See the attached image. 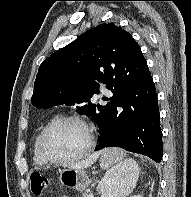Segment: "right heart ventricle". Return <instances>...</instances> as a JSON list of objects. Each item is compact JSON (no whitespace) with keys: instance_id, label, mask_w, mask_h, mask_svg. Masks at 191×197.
Here are the masks:
<instances>
[{"instance_id":"right-heart-ventricle-1","label":"right heart ventricle","mask_w":191,"mask_h":197,"mask_svg":"<svg viewBox=\"0 0 191 197\" xmlns=\"http://www.w3.org/2000/svg\"><path fill=\"white\" fill-rule=\"evenodd\" d=\"M43 129V127L40 129V131L38 132V134L36 135L34 142H33V147H32V152H33V162L35 165L37 166H45L48 164L47 161H45L38 150V138H39V134L41 132V130Z\"/></svg>"}]
</instances>
